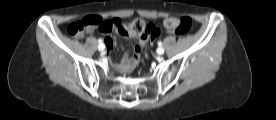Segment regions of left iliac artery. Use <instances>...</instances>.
Wrapping results in <instances>:
<instances>
[{"instance_id":"left-iliac-artery-1","label":"left iliac artery","mask_w":276,"mask_h":120,"mask_svg":"<svg viewBox=\"0 0 276 120\" xmlns=\"http://www.w3.org/2000/svg\"><path fill=\"white\" fill-rule=\"evenodd\" d=\"M158 46H160V47L162 46V42L161 41L158 42Z\"/></svg>"}]
</instances>
